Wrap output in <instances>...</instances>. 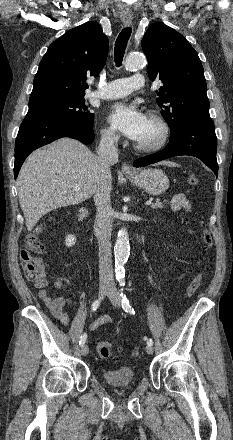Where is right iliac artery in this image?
I'll return each mask as SVG.
<instances>
[{
  "instance_id": "obj_1",
  "label": "right iliac artery",
  "mask_w": 233,
  "mask_h": 440,
  "mask_svg": "<svg viewBox=\"0 0 233 440\" xmlns=\"http://www.w3.org/2000/svg\"><path fill=\"white\" fill-rule=\"evenodd\" d=\"M99 305H100V299H99V300H95V301L93 302V304H92V311H96V310L98 309ZM86 339H87V334L84 333V334L81 335V337H80L79 345H81V346L84 345Z\"/></svg>"
}]
</instances>
